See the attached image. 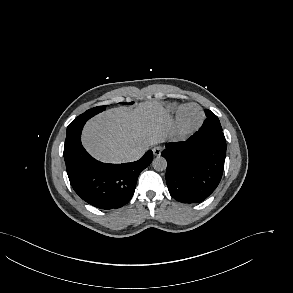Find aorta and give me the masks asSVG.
I'll list each match as a JSON object with an SVG mask.
<instances>
[{
    "mask_svg": "<svg viewBox=\"0 0 293 293\" xmlns=\"http://www.w3.org/2000/svg\"><path fill=\"white\" fill-rule=\"evenodd\" d=\"M153 168L156 171H164L167 168V161L162 156H157L152 162Z\"/></svg>",
    "mask_w": 293,
    "mask_h": 293,
    "instance_id": "aorta-1",
    "label": "aorta"
}]
</instances>
